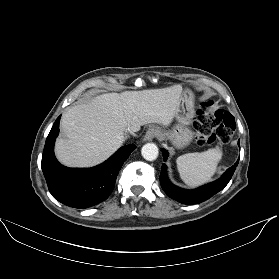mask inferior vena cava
Wrapping results in <instances>:
<instances>
[{
	"label": "inferior vena cava",
	"mask_w": 279,
	"mask_h": 279,
	"mask_svg": "<svg viewBox=\"0 0 279 279\" xmlns=\"http://www.w3.org/2000/svg\"><path fill=\"white\" fill-rule=\"evenodd\" d=\"M127 131H128V133H130L131 135H134V132H135V131H133L132 129L128 128Z\"/></svg>",
	"instance_id": "inferior-vena-cava-1"
}]
</instances>
